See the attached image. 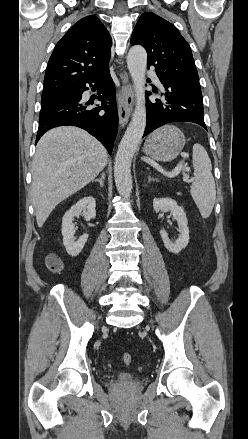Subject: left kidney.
Here are the masks:
<instances>
[{
    "label": "left kidney",
    "mask_w": 248,
    "mask_h": 439,
    "mask_svg": "<svg viewBox=\"0 0 248 439\" xmlns=\"http://www.w3.org/2000/svg\"><path fill=\"white\" fill-rule=\"evenodd\" d=\"M153 208L156 213L170 211L173 218L177 221L178 232L180 234L175 242H172L169 239L168 234L164 230H160V235L166 249L174 254H178L182 249L186 248L189 242L188 220L184 209L181 206H178L175 200L167 197L154 198Z\"/></svg>",
    "instance_id": "left-kidney-1"
}]
</instances>
